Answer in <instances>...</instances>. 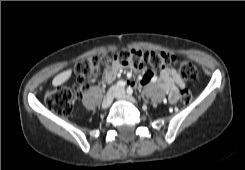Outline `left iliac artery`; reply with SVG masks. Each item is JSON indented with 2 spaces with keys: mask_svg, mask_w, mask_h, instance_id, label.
I'll return each mask as SVG.
<instances>
[{
  "mask_svg": "<svg viewBox=\"0 0 245 170\" xmlns=\"http://www.w3.org/2000/svg\"><path fill=\"white\" fill-rule=\"evenodd\" d=\"M133 89L131 87L127 88V94L132 95Z\"/></svg>",
  "mask_w": 245,
  "mask_h": 170,
  "instance_id": "left-iliac-artery-1",
  "label": "left iliac artery"
}]
</instances>
